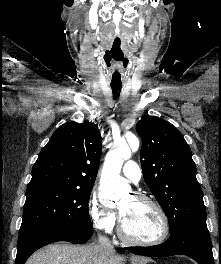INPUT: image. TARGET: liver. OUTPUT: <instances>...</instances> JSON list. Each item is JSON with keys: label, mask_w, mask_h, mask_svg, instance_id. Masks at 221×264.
<instances>
[{"label": "liver", "mask_w": 221, "mask_h": 264, "mask_svg": "<svg viewBox=\"0 0 221 264\" xmlns=\"http://www.w3.org/2000/svg\"><path fill=\"white\" fill-rule=\"evenodd\" d=\"M123 261V257L106 252L100 245L53 244L34 253L25 264H122ZM130 261L146 264L149 259L132 256Z\"/></svg>", "instance_id": "6515ba94"}]
</instances>
